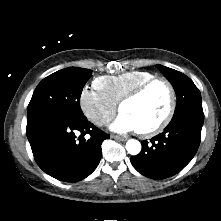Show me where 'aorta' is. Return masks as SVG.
I'll list each match as a JSON object with an SVG mask.
<instances>
[{
  "label": "aorta",
  "mask_w": 221,
  "mask_h": 221,
  "mask_svg": "<svg viewBox=\"0 0 221 221\" xmlns=\"http://www.w3.org/2000/svg\"><path fill=\"white\" fill-rule=\"evenodd\" d=\"M126 150L131 155H137L141 151V144L136 139H130L126 143Z\"/></svg>",
  "instance_id": "aorta-1"
}]
</instances>
